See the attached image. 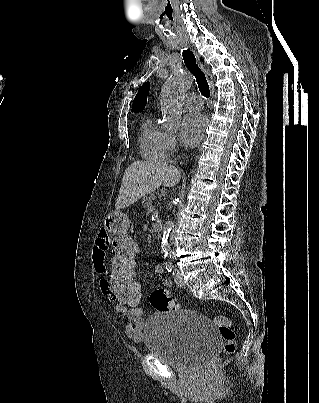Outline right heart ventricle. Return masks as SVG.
Masks as SVG:
<instances>
[{
    "label": "right heart ventricle",
    "instance_id": "1",
    "mask_svg": "<svg viewBox=\"0 0 319 403\" xmlns=\"http://www.w3.org/2000/svg\"><path fill=\"white\" fill-rule=\"evenodd\" d=\"M167 132L152 118H147L141 126L140 152L145 159L159 160L167 155Z\"/></svg>",
    "mask_w": 319,
    "mask_h": 403
}]
</instances>
